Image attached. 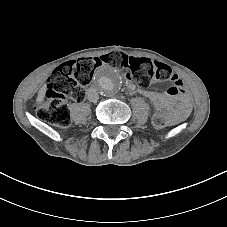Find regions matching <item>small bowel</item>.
Listing matches in <instances>:
<instances>
[{"label": "small bowel", "mask_w": 227, "mask_h": 227, "mask_svg": "<svg viewBox=\"0 0 227 227\" xmlns=\"http://www.w3.org/2000/svg\"><path fill=\"white\" fill-rule=\"evenodd\" d=\"M141 93L152 101L157 112H165L170 109L171 104L170 101L167 99L166 95L157 91L146 89H142ZM172 111L177 118H183L189 112V103L186 99H182L179 104V108L173 109Z\"/></svg>", "instance_id": "1"}]
</instances>
